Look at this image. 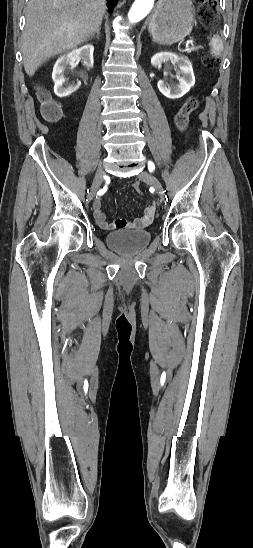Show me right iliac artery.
Instances as JSON below:
<instances>
[{
  "mask_svg": "<svg viewBox=\"0 0 253 548\" xmlns=\"http://www.w3.org/2000/svg\"><path fill=\"white\" fill-rule=\"evenodd\" d=\"M105 192V189H102L101 191L98 192V195H101Z\"/></svg>",
  "mask_w": 253,
  "mask_h": 548,
  "instance_id": "1",
  "label": "right iliac artery"
}]
</instances>
